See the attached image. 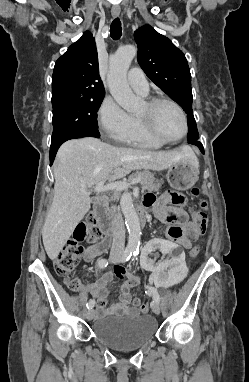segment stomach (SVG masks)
Segmentation results:
<instances>
[{"instance_id":"0dacf381","label":"stomach","mask_w":249,"mask_h":382,"mask_svg":"<svg viewBox=\"0 0 249 382\" xmlns=\"http://www.w3.org/2000/svg\"><path fill=\"white\" fill-rule=\"evenodd\" d=\"M198 160L188 159L169 167L167 181L176 190H187L198 180Z\"/></svg>"}]
</instances>
